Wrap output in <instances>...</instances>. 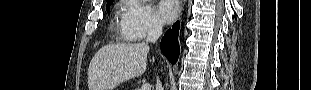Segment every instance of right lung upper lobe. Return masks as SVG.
I'll use <instances>...</instances> for the list:
<instances>
[{
    "instance_id": "cb5924a9",
    "label": "right lung upper lobe",
    "mask_w": 311,
    "mask_h": 90,
    "mask_svg": "<svg viewBox=\"0 0 311 90\" xmlns=\"http://www.w3.org/2000/svg\"><path fill=\"white\" fill-rule=\"evenodd\" d=\"M106 1H107V3H108V2H110V1H112V0H106Z\"/></svg>"
}]
</instances>
